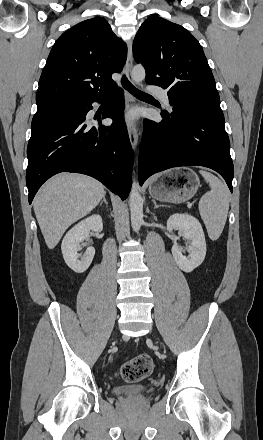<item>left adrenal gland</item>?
Listing matches in <instances>:
<instances>
[{
    "instance_id": "1",
    "label": "left adrenal gland",
    "mask_w": 263,
    "mask_h": 440,
    "mask_svg": "<svg viewBox=\"0 0 263 440\" xmlns=\"http://www.w3.org/2000/svg\"><path fill=\"white\" fill-rule=\"evenodd\" d=\"M152 202L154 204V209H157L158 207H167L165 205H158L154 199L152 200Z\"/></svg>"
}]
</instances>
